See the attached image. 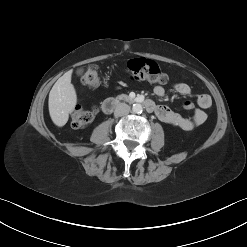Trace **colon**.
<instances>
[{"mask_svg":"<svg viewBox=\"0 0 247 247\" xmlns=\"http://www.w3.org/2000/svg\"><path fill=\"white\" fill-rule=\"evenodd\" d=\"M127 72L132 80H147L155 84H167L168 75L153 60L146 58L131 59L127 63ZM84 86L95 88L100 84L99 69L97 66H89L81 76ZM185 110H193L195 105L191 101L183 104ZM95 116V110H86L77 106L71 114V125L74 128H84L90 124Z\"/></svg>","mask_w":247,"mask_h":247,"instance_id":"5ec220e1","label":"colon"}]
</instances>
